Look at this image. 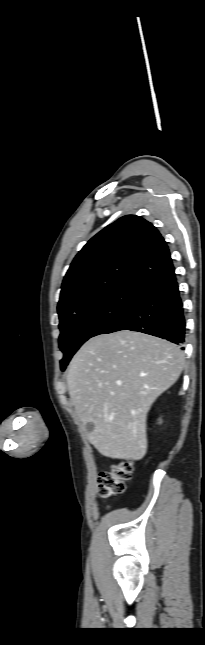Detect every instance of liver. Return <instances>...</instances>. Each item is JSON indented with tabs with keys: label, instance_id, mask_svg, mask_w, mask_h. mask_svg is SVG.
I'll return each instance as SVG.
<instances>
[{
	"label": "liver",
	"instance_id": "liver-1",
	"mask_svg": "<svg viewBox=\"0 0 205 645\" xmlns=\"http://www.w3.org/2000/svg\"><path fill=\"white\" fill-rule=\"evenodd\" d=\"M180 348L158 337L119 331L89 339L72 358L67 385L90 443L104 456L140 460L147 452L146 419L154 401L179 378Z\"/></svg>",
	"mask_w": 205,
	"mask_h": 645
}]
</instances>
